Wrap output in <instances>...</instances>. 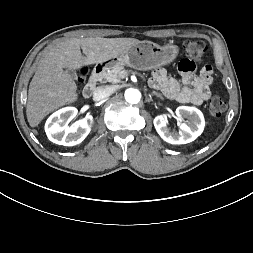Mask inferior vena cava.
Here are the masks:
<instances>
[{
  "instance_id": "602c4592",
  "label": "inferior vena cava",
  "mask_w": 253,
  "mask_h": 253,
  "mask_svg": "<svg viewBox=\"0 0 253 253\" xmlns=\"http://www.w3.org/2000/svg\"><path fill=\"white\" fill-rule=\"evenodd\" d=\"M113 92L114 90L112 87H98L94 92L93 98L96 101H100L109 97L111 94H113Z\"/></svg>"
}]
</instances>
